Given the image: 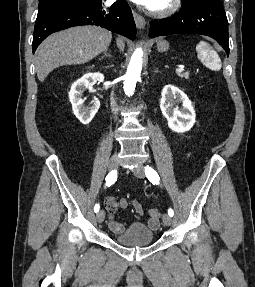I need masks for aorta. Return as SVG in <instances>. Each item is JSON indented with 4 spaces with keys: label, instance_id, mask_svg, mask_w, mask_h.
I'll return each mask as SVG.
<instances>
[{
    "label": "aorta",
    "instance_id": "obj_1",
    "mask_svg": "<svg viewBox=\"0 0 255 287\" xmlns=\"http://www.w3.org/2000/svg\"><path fill=\"white\" fill-rule=\"evenodd\" d=\"M142 56V49H136L131 57L127 72L124 76V92L128 96L133 95L136 82L140 78L142 70Z\"/></svg>",
    "mask_w": 255,
    "mask_h": 287
}]
</instances>
